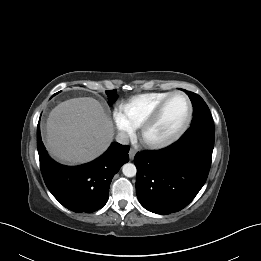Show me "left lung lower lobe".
Returning a JSON list of instances; mask_svg holds the SVG:
<instances>
[{"label": "left lung lower lobe", "instance_id": "0a47b994", "mask_svg": "<svg viewBox=\"0 0 261 261\" xmlns=\"http://www.w3.org/2000/svg\"><path fill=\"white\" fill-rule=\"evenodd\" d=\"M214 134L215 128L190 127L170 146L136 154V193L145 209L169 214L194 199L210 170Z\"/></svg>", "mask_w": 261, "mask_h": 261}]
</instances>
